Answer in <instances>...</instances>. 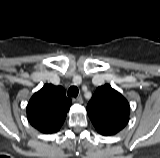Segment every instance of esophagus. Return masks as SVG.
<instances>
[{"mask_svg": "<svg viewBox=\"0 0 160 158\" xmlns=\"http://www.w3.org/2000/svg\"><path fill=\"white\" fill-rule=\"evenodd\" d=\"M73 102L77 104H82L83 103V98L81 96H78L77 98L73 99Z\"/></svg>", "mask_w": 160, "mask_h": 158, "instance_id": "34e87169", "label": "esophagus"}]
</instances>
